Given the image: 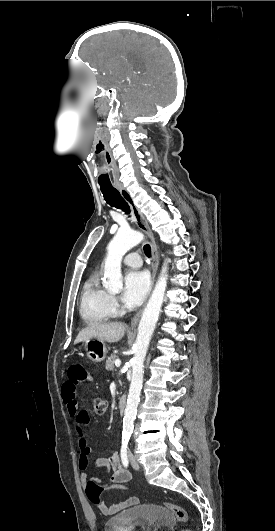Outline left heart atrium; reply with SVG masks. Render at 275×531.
Returning a JSON list of instances; mask_svg holds the SVG:
<instances>
[{
  "label": "left heart atrium",
  "mask_w": 275,
  "mask_h": 531,
  "mask_svg": "<svg viewBox=\"0 0 275 531\" xmlns=\"http://www.w3.org/2000/svg\"><path fill=\"white\" fill-rule=\"evenodd\" d=\"M150 288V276L141 268L130 269L124 276L123 300L132 307L138 306Z\"/></svg>",
  "instance_id": "left-heart-atrium-1"
}]
</instances>
